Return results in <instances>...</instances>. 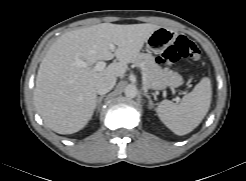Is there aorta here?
<instances>
[{
  "label": "aorta",
  "instance_id": "1",
  "mask_svg": "<svg viewBox=\"0 0 246 181\" xmlns=\"http://www.w3.org/2000/svg\"><path fill=\"white\" fill-rule=\"evenodd\" d=\"M124 94L128 98H135L138 94L137 87L135 85H128L124 89Z\"/></svg>",
  "mask_w": 246,
  "mask_h": 181
}]
</instances>
